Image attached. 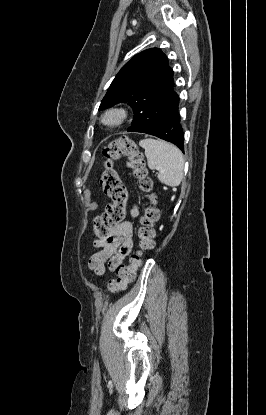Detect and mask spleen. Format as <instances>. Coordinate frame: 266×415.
I'll list each match as a JSON object with an SVG mask.
<instances>
[{
  "label": "spleen",
  "mask_w": 266,
  "mask_h": 415,
  "mask_svg": "<svg viewBox=\"0 0 266 415\" xmlns=\"http://www.w3.org/2000/svg\"><path fill=\"white\" fill-rule=\"evenodd\" d=\"M139 145L145 150L148 167L157 170L158 180L167 186H179L184 174V158L174 145L156 139H143Z\"/></svg>",
  "instance_id": "3e777b00"
}]
</instances>
